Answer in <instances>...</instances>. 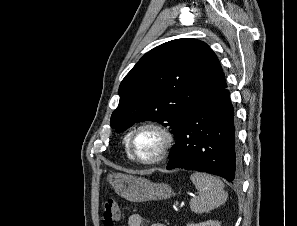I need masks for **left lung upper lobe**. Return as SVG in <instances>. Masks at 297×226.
<instances>
[{"instance_id":"obj_1","label":"left lung upper lobe","mask_w":297,"mask_h":226,"mask_svg":"<svg viewBox=\"0 0 297 226\" xmlns=\"http://www.w3.org/2000/svg\"><path fill=\"white\" fill-rule=\"evenodd\" d=\"M227 86L221 65L209 46L184 38L146 53L120 84V101L111 127L121 132L135 122L155 121L174 135L198 101Z\"/></svg>"}]
</instances>
